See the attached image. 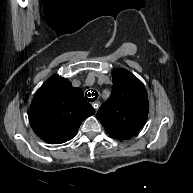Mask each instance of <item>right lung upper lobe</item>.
I'll use <instances>...</instances> for the list:
<instances>
[{"mask_svg": "<svg viewBox=\"0 0 193 193\" xmlns=\"http://www.w3.org/2000/svg\"><path fill=\"white\" fill-rule=\"evenodd\" d=\"M94 113L80 88L73 87L66 78L53 75L36 92L29 121L42 140L60 144L72 139L81 122Z\"/></svg>", "mask_w": 193, "mask_h": 193, "instance_id": "obj_1", "label": "right lung upper lobe"}]
</instances>
